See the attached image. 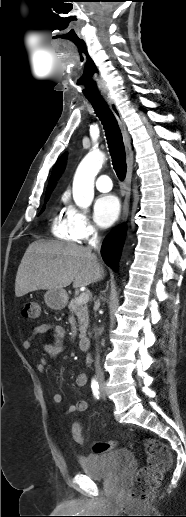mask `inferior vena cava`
<instances>
[{"mask_svg": "<svg viewBox=\"0 0 186 517\" xmlns=\"http://www.w3.org/2000/svg\"><path fill=\"white\" fill-rule=\"evenodd\" d=\"M99 243H100V238L97 234V232L94 233V235L92 236V238L89 240L88 244V248L89 249H97L99 250ZM97 355H96V358H95V370H96V375H97V378L98 380H103L104 379V374H103V371L101 369V366H100V356H99V350H98V347H97Z\"/></svg>", "mask_w": 186, "mask_h": 517, "instance_id": "obj_1", "label": "inferior vena cava"}]
</instances>
